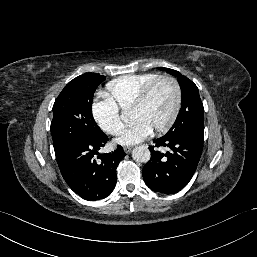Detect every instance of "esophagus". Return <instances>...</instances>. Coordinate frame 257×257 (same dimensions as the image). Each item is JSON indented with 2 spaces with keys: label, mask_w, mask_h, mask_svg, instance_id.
Instances as JSON below:
<instances>
[{
  "label": "esophagus",
  "mask_w": 257,
  "mask_h": 257,
  "mask_svg": "<svg viewBox=\"0 0 257 257\" xmlns=\"http://www.w3.org/2000/svg\"><path fill=\"white\" fill-rule=\"evenodd\" d=\"M132 148L129 146L124 147V151L129 154L131 152Z\"/></svg>",
  "instance_id": "1"
}]
</instances>
